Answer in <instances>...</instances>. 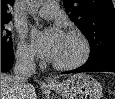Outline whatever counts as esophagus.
I'll list each match as a JSON object with an SVG mask.
<instances>
[{"label":"esophagus","instance_id":"esophagus-1","mask_svg":"<svg viewBox=\"0 0 115 99\" xmlns=\"http://www.w3.org/2000/svg\"><path fill=\"white\" fill-rule=\"evenodd\" d=\"M45 82L48 83V84H53L55 82V80L51 77H46Z\"/></svg>","mask_w":115,"mask_h":99}]
</instances>
